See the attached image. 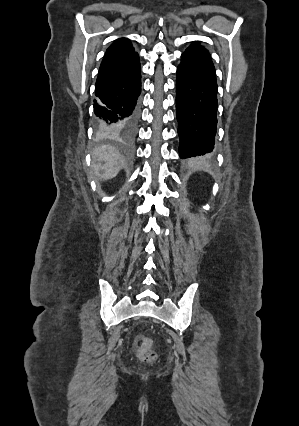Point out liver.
Returning a JSON list of instances; mask_svg holds the SVG:
<instances>
[{
    "label": "liver",
    "mask_w": 299,
    "mask_h": 426,
    "mask_svg": "<svg viewBox=\"0 0 299 426\" xmlns=\"http://www.w3.org/2000/svg\"><path fill=\"white\" fill-rule=\"evenodd\" d=\"M93 154L99 162H103V164L93 163L96 178L111 179L119 173L124 164L119 152L111 145H101L94 150Z\"/></svg>",
    "instance_id": "6515ba94"
}]
</instances>
